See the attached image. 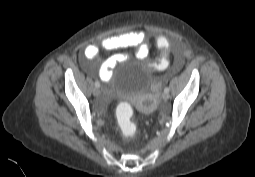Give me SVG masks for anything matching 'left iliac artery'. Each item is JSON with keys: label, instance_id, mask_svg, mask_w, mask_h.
I'll use <instances>...</instances> for the list:
<instances>
[{"label": "left iliac artery", "instance_id": "44dca946", "mask_svg": "<svg viewBox=\"0 0 255 177\" xmlns=\"http://www.w3.org/2000/svg\"><path fill=\"white\" fill-rule=\"evenodd\" d=\"M169 87H166L165 89H164V92H169Z\"/></svg>", "mask_w": 255, "mask_h": 177}]
</instances>
